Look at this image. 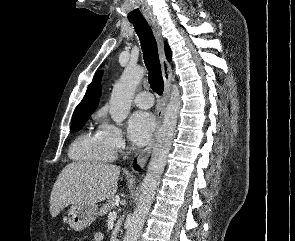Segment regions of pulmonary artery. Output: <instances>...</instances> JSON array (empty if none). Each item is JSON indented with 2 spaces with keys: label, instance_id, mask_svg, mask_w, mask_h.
<instances>
[{
  "label": "pulmonary artery",
  "instance_id": "e3ab8cb5",
  "mask_svg": "<svg viewBox=\"0 0 295 241\" xmlns=\"http://www.w3.org/2000/svg\"><path fill=\"white\" fill-rule=\"evenodd\" d=\"M134 103L139 108L147 109L153 105L154 97L150 92L142 91L134 97Z\"/></svg>",
  "mask_w": 295,
  "mask_h": 241
}]
</instances>
